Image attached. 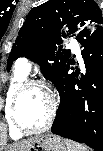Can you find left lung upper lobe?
<instances>
[{
  "label": "left lung upper lobe",
  "mask_w": 103,
  "mask_h": 151,
  "mask_svg": "<svg viewBox=\"0 0 103 151\" xmlns=\"http://www.w3.org/2000/svg\"><path fill=\"white\" fill-rule=\"evenodd\" d=\"M89 28L103 29L102 12L93 0H49L33 8L13 44L8 70L14 60L26 56L54 82L70 58V51L63 49V38H77Z\"/></svg>",
  "instance_id": "5c2ea615"
}]
</instances>
